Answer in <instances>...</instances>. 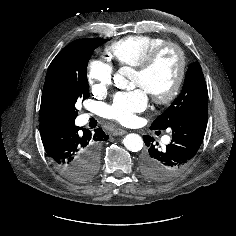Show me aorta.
Listing matches in <instances>:
<instances>
[{
    "label": "aorta",
    "mask_w": 236,
    "mask_h": 236,
    "mask_svg": "<svg viewBox=\"0 0 236 236\" xmlns=\"http://www.w3.org/2000/svg\"><path fill=\"white\" fill-rule=\"evenodd\" d=\"M133 74V69L130 67H122L118 73L114 75V84L119 89H126L129 87V78ZM124 146L127 150L138 152L143 147V139L138 134H128L123 140Z\"/></svg>",
    "instance_id": "762f6f07"
}]
</instances>
